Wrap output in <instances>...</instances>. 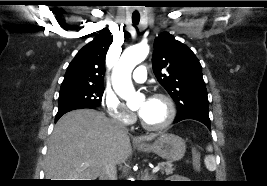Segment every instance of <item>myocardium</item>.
<instances>
[{"mask_svg": "<svg viewBox=\"0 0 267 186\" xmlns=\"http://www.w3.org/2000/svg\"><path fill=\"white\" fill-rule=\"evenodd\" d=\"M152 98L159 99V100H162V101L165 102V104L167 105V108H168L167 117L159 125H149V124L145 123L142 118H140V124L145 130H148V131H161V130H164L167 127H169L172 124V122L174 121L175 116H176L175 104H174L173 100L169 96H167L166 94H163V93H155L152 96Z\"/></svg>", "mask_w": 267, "mask_h": 186, "instance_id": "myocardium-1", "label": "myocardium"}]
</instances>
